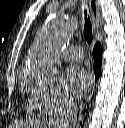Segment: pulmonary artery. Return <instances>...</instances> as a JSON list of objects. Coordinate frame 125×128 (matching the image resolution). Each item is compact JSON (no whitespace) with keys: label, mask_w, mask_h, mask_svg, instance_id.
<instances>
[{"label":"pulmonary artery","mask_w":125,"mask_h":128,"mask_svg":"<svg viewBox=\"0 0 125 128\" xmlns=\"http://www.w3.org/2000/svg\"><path fill=\"white\" fill-rule=\"evenodd\" d=\"M63 57L68 61H81L84 58V51L80 46H72L63 51Z\"/></svg>","instance_id":"1"}]
</instances>
